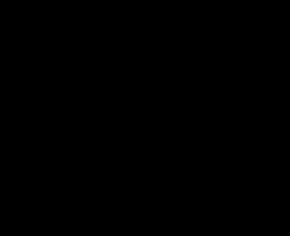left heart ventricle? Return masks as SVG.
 <instances>
[{"instance_id": "left-heart-ventricle-1", "label": "left heart ventricle", "mask_w": 290, "mask_h": 236, "mask_svg": "<svg viewBox=\"0 0 290 236\" xmlns=\"http://www.w3.org/2000/svg\"><path fill=\"white\" fill-rule=\"evenodd\" d=\"M194 90L195 81L193 76L188 72H184L179 81L158 98V104L166 110H172L173 108L182 109L192 98Z\"/></svg>"}]
</instances>
